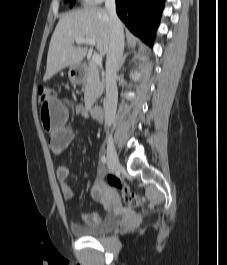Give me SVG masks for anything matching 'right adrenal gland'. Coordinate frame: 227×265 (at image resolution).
Instances as JSON below:
<instances>
[{"label":"right adrenal gland","mask_w":227,"mask_h":265,"mask_svg":"<svg viewBox=\"0 0 227 265\" xmlns=\"http://www.w3.org/2000/svg\"><path fill=\"white\" fill-rule=\"evenodd\" d=\"M127 56H128V53H126V54L123 55V57H122V59H121L120 66H119V69H120V68L123 66V64L125 63V60H126Z\"/></svg>","instance_id":"obj_1"}]
</instances>
